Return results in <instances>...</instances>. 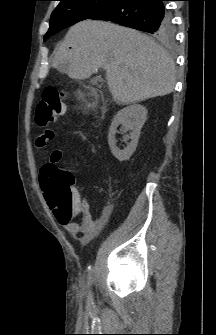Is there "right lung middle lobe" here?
Masks as SVG:
<instances>
[{"label": "right lung middle lobe", "mask_w": 216, "mask_h": 335, "mask_svg": "<svg viewBox=\"0 0 216 335\" xmlns=\"http://www.w3.org/2000/svg\"><path fill=\"white\" fill-rule=\"evenodd\" d=\"M59 1V5L51 15L49 30L44 36V41L64 28H67L79 21L93 18L96 14L110 6L116 0ZM155 37L161 40H171L173 38L172 24L165 31Z\"/></svg>", "instance_id": "1"}]
</instances>
